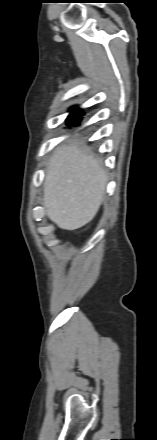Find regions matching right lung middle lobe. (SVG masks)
I'll return each instance as SVG.
<instances>
[{
	"mask_svg": "<svg viewBox=\"0 0 157 440\" xmlns=\"http://www.w3.org/2000/svg\"><path fill=\"white\" fill-rule=\"evenodd\" d=\"M67 124L68 125H72V126H77V125H79L77 122H75V121H67Z\"/></svg>",
	"mask_w": 157,
	"mask_h": 440,
	"instance_id": "dd1d6c3e",
	"label": "right lung middle lobe"
}]
</instances>
